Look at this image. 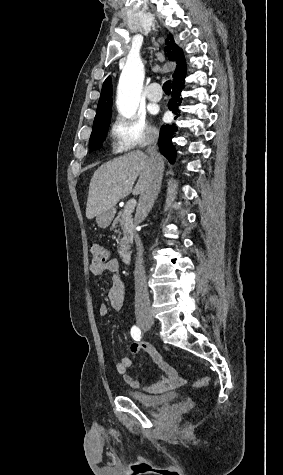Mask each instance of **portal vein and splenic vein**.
<instances>
[{
    "label": "portal vein and splenic vein",
    "mask_w": 283,
    "mask_h": 475,
    "mask_svg": "<svg viewBox=\"0 0 283 475\" xmlns=\"http://www.w3.org/2000/svg\"><path fill=\"white\" fill-rule=\"evenodd\" d=\"M129 202H132V200H129ZM126 208H127V210H131V212H132L133 204H127Z\"/></svg>",
    "instance_id": "18ae733b"
}]
</instances>
